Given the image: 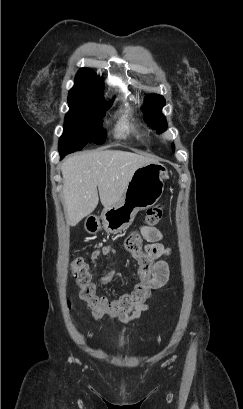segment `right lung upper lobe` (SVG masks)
<instances>
[{"mask_svg":"<svg viewBox=\"0 0 243 409\" xmlns=\"http://www.w3.org/2000/svg\"><path fill=\"white\" fill-rule=\"evenodd\" d=\"M103 80L92 70L82 68L75 77V85L69 91L68 101H97L102 99Z\"/></svg>","mask_w":243,"mask_h":409,"instance_id":"right-lung-upper-lobe-1","label":"right lung upper lobe"}]
</instances>
